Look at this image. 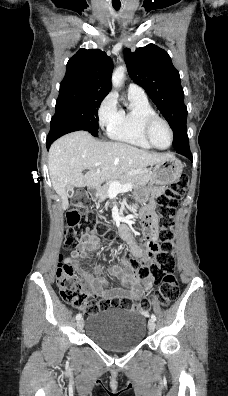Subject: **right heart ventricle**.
Listing matches in <instances>:
<instances>
[{
    "label": "right heart ventricle",
    "mask_w": 228,
    "mask_h": 396,
    "mask_svg": "<svg viewBox=\"0 0 228 396\" xmlns=\"http://www.w3.org/2000/svg\"><path fill=\"white\" fill-rule=\"evenodd\" d=\"M129 107L119 110L118 119L108 128L110 138L133 146L150 150L152 146L146 141L142 131L145 117L154 115L155 110L146 96L129 94Z\"/></svg>",
    "instance_id": "e07e8e85"
}]
</instances>
